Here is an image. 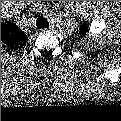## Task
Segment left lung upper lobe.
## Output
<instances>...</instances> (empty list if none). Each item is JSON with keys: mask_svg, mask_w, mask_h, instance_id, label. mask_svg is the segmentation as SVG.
I'll list each match as a JSON object with an SVG mask.
<instances>
[{"mask_svg": "<svg viewBox=\"0 0 121 121\" xmlns=\"http://www.w3.org/2000/svg\"><path fill=\"white\" fill-rule=\"evenodd\" d=\"M88 32V26L84 23L80 28V36H85Z\"/></svg>", "mask_w": 121, "mask_h": 121, "instance_id": "5c2ea615", "label": "left lung upper lobe"}]
</instances>
